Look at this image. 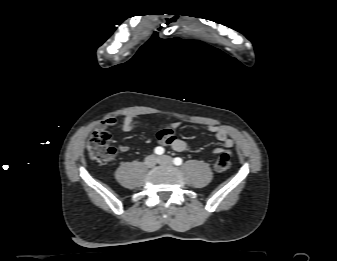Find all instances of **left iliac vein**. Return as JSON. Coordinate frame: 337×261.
<instances>
[{"instance_id": "left-iliac-vein-1", "label": "left iliac vein", "mask_w": 337, "mask_h": 261, "mask_svg": "<svg viewBox=\"0 0 337 261\" xmlns=\"http://www.w3.org/2000/svg\"><path fill=\"white\" fill-rule=\"evenodd\" d=\"M157 162L161 165H172L173 160L170 156L163 155V156L158 157Z\"/></svg>"}]
</instances>
